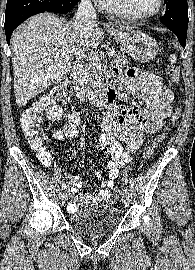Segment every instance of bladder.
<instances>
[{"mask_svg": "<svg viewBox=\"0 0 195 270\" xmlns=\"http://www.w3.org/2000/svg\"><path fill=\"white\" fill-rule=\"evenodd\" d=\"M119 220V209L113 204L91 205L71 216L72 226L91 236L110 232L118 225Z\"/></svg>", "mask_w": 195, "mask_h": 270, "instance_id": "bladder-1", "label": "bladder"}]
</instances>
